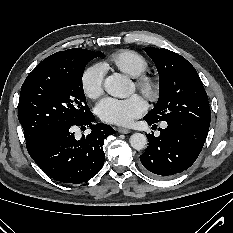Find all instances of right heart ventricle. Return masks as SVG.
Here are the masks:
<instances>
[{"mask_svg":"<svg viewBox=\"0 0 233 233\" xmlns=\"http://www.w3.org/2000/svg\"><path fill=\"white\" fill-rule=\"evenodd\" d=\"M104 66H113L128 76L138 77L147 71L148 62L138 52L121 50L107 58Z\"/></svg>","mask_w":233,"mask_h":233,"instance_id":"obj_1","label":"right heart ventricle"}]
</instances>
